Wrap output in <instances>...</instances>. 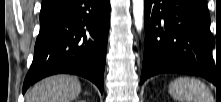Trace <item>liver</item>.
Listing matches in <instances>:
<instances>
[{"mask_svg":"<svg viewBox=\"0 0 221 102\" xmlns=\"http://www.w3.org/2000/svg\"><path fill=\"white\" fill-rule=\"evenodd\" d=\"M81 92V84L74 76L48 77L26 94V102H72Z\"/></svg>","mask_w":221,"mask_h":102,"instance_id":"obj_1","label":"liver"}]
</instances>
